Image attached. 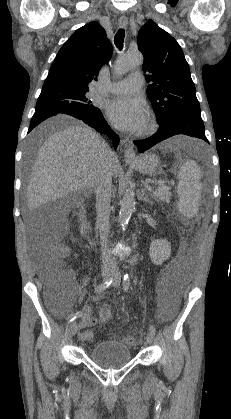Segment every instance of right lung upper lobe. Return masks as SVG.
<instances>
[{
    "label": "right lung upper lobe",
    "instance_id": "1",
    "mask_svg": "<svg viewBox=\"0 0 231 419\" xmlns=\"http://www.w3.org/2000/svg\"><path fill=\"white\" fill-rule=\"evenodd\" d=\"M111 42L97 22L76 30L59 50L43 86L66 85L89 89L88 85L112 55Z\"/></svg>",
    "mask_w": 231,
    "mask_h": 419
}]
</instances>
